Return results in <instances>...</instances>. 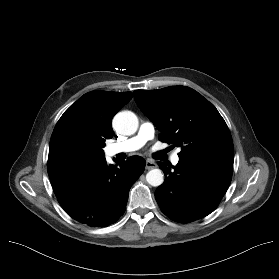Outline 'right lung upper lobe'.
Returning <instances> with one entry per match:
<instances>
[{
	"label": "right lung upper lobe",
	"mask_w": 279,
	"mask_h": 279,
	"mask_svg": "<svg viewBox=\"0 0 279 279\" xmlns=\"http://www.w3.org/2000/svg\"><path fill=\"white\" fill-rule=\"evenodd\" d=\"M132 98L131 92L91 91L71 105L57 122L50 140L48 174L60 148L80 142L93 154V162L104 159L105 140L113 137V116ZM92 162V163H93Z\"/></svg>",
	"instance_id": "right-lung-upper-lobe-1"
}]
</instances>
